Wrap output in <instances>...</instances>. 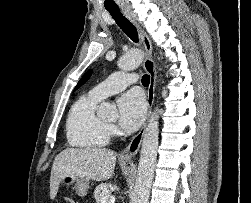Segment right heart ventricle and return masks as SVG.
Returning <instances> with one entry per match:
<instances>
[{
  "label": "right heart ventricle",
  "mask_w": 251,
  "mask_h": 203,
  "mask_svg": "<svg viewBox=\"0 0 251 203\" xmlns=\"http://www.w3.org/2000/svg\"><path fill=\"white\" fill-rule=\"evenodd\" d=\"M100 99L87 93L70 109L66 132L70 145L84 149L104 147L109 142L108 125L97 115Z\"/></svg>",
  "instance_id": "right-heart-ventricle-1"
}]
</instances>
